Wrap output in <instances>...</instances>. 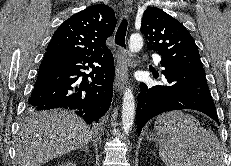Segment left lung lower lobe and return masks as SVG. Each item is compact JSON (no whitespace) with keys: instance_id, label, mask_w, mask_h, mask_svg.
Returning a JSON list of instances; mask_svg holds the SVG:
<instances>
[{"instance_id":"0a47b994","label":"left lung lower lobe","mask_w":231,"mask_h":166,"mask_svg":"<svg viewBox=\"0 0 231 166\" xmlns=\"http://www.w3.org/2000/svg\"><path fill=\"white\" fill-rule=\"evenodd\" d=\"M166 85L148 87L140 84L141 92L137 104V131L153 117L172 110L193 109L200 111L218 124V116L207 85L203 67L172 65L161 61Z\"/></svg>"}]
</instances>
